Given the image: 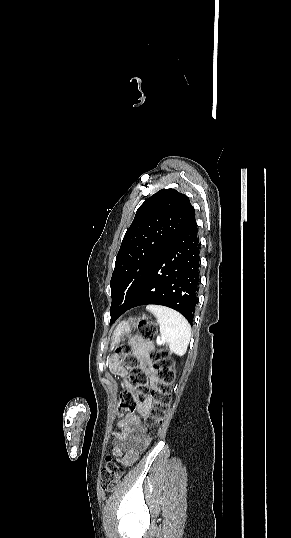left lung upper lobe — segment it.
I'll return each instance as SVG.
<instances>
[{
  "mask_svg": "<svg viewBox=\"0 0 291 538\" xmlns=\"http://www.w3.org/2000/svg\"><path fill=\"white\" fill-rule=\"evenodd\" d=\"M194 213L189 198L175 189L159 190L143 202L116 257L110 313L133 300L161 253L194 220Z\"/></svg>",
  "mask_w": 291,
  "mask_h": 538,
  "instance_id": "obj_1",
  "label": "left lung upper lobe"
}]
</instances>
